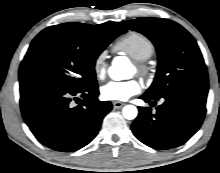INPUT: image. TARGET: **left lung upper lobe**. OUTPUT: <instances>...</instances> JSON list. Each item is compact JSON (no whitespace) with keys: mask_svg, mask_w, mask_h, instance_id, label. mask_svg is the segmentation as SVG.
Segmentation results:
<instances>
[{"mask_svg":"<svg viewBox=\"0 0 220 173\" xmlns=\"http://www.w3.org/2000/svg\"><path fill=\"white\" fill-rule=\"evenodd\" d=\"M121 23L144 34L157 50L155 80L144 94L161 98L179 91L208 93V75L202 54L195 39L181 25L161 18H138Z\"/></svg>","mask_w":220,"mask_h":173,"instance_id":"5c2ea615","label":"left lung upper lobe"}]
</instances>
